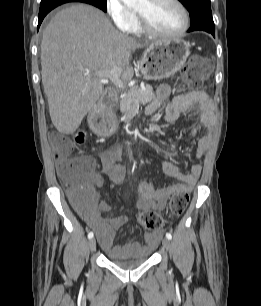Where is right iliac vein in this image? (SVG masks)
<instances>
[{
    "instance_id": "obj_1",
    "label": "right iliac vein",
    "mask_w": 261,
    "mask_h": 306,
    "mask_svg": "<svg viewBox=\"0 0 261 306\" xmlns=\"http://www.w3.org/2000/svg\"><path fill=\"white\" fill-rule=\"evenodd\" d=\"M88 245H89V249H90L91 251H95V249H96V239H95V238H91V239L89 240Z\"/></svg>"
}]
</instances>
